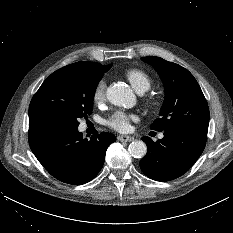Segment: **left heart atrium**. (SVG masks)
<instances>
[{"instance_id": "1", "label": "left heart atrium", "mask_w": 233, "mask_h": 233, "mask_svg": "<svg viewBox=\"0 0 233 233\" xmlns=\"http://www.w3.org/2000/svg\"><path fill=\"white\" fill-rule=\"evenodd\" d=\"M136 118L135 114L116 111L107 120V125L118 132H127L130 129V122Z\"/></svg>"}]
</instances>
